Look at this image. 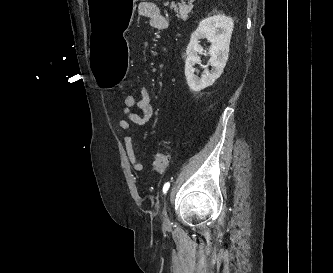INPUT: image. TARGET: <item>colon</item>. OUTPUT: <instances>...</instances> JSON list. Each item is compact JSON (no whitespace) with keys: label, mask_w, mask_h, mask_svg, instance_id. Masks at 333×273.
Instances as JSON below:
<instances>
[{"label":"colon","mask_w":333,"mask_h":273,"mask_svg":"<svg viewBox=\"0 0 333 273\" xmlns=\"http://www.w3.org/2000/svg\"><path fill=\"white\" fill-rule=\"evenodd\" d=\"M124 107L126 108H136L137 102H138V96L135 94H127L124 97ZM169 156L165 153H158L154 157V162H153V169L156 172H163L167 169L169 165Z\"/></svg>","instance_id":"colon-1"}]
</instances>
